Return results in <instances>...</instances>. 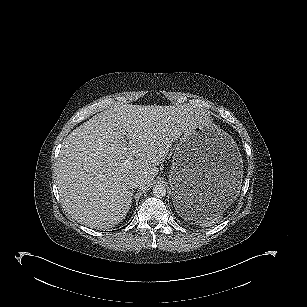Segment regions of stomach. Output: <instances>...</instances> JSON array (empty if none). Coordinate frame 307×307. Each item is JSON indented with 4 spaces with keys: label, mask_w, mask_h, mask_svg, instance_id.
I'll list each match as a JSON object with an SVG mask.
<instances>
[{
    "label": "stomach",
    "mask_w": 307,
    "mask_h": 307,
    "mask_svg": "<svg viewBox=\"0 0 307 307\" xmlns=\"http://www.w3.org/2000/svg\"><path fill=\"white\" fill-rule=\"evenodd\" d=\"M243 160L230 135L203 121L176 147L169 184L177 213L185 220L203 211H224L238 197Z\"/></svg>",
    "instance_id": "1"
}]
</instances>
